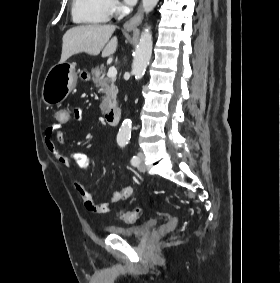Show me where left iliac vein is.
I'll use <instances>...</instances> for the list:
<instances>
[{
  "label": "left iliac vein",
  "mask_w": 280,
  "mask_h": 283,
  "mask_svg": "<svg viewBox=\"0 0 280 283\" xmlns=\"http://www.w3.org/2000/svg\"><path fill=\"white\" fill-rule=\"evenodd\" d=\"M144 154L143 152H139L138 153V159H139V162L137 164V169L140 171V172H145L146 170V167H145V164H144Z\"/></svg>",
  "instance_id": "obj_1"
}]
</instances>
